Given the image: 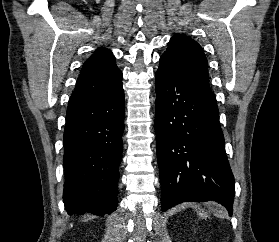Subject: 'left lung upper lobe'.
Returning <instances> with one entry per match:
<instances>
[{
  "mask_svg": "<svg viewBox=\"0 0 279 242\" xmlns=\"http://www.w3.org/2000/svg\"><path fill=\"white\" fill-rule=\"evenodd\" d=\"M163 56L169 57L178 67L201 81L210 89L208 62L200 45L184 34L174 35Z\"/></svg>",
  "mask_w": 279,
  "mask_h": 242,
  "instance_id": "obj_1",
  "label": "left lung upper lobe"
}]
</instances>
